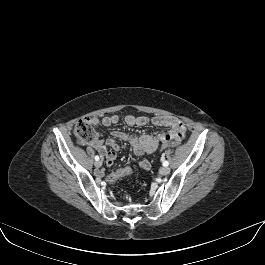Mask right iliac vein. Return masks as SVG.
I'll return each mask as SVG.
<instances>
[{
    "label": "right iliac vein",
    "mask_w": 265,
    "mask_h": 265,
    "mask_svg": "<svg viewBox=\"0 0 265 265\" xmlns=\"http://www.w3.org/2000/svg\"><path fill=\"white\" fill-rule=\"evenodd\" d=\"M102 166V162L101 161H96L95 162V167H97V168H100Z\"/></svg>",
    "instance_id": "obj_1"
}]
</instances>
